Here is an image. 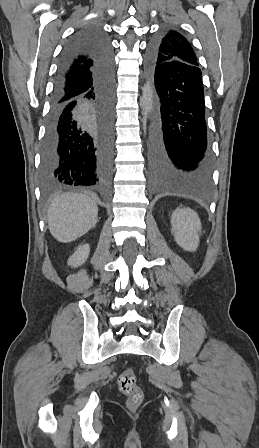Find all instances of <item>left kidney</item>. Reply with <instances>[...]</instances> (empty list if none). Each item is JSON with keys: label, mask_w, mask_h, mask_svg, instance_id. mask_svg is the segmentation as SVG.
Returning a JSON list of instances; mask_svg holds the SVG:
<instances>
[{"label": "left kidney", "mask_w": 259, "mask_h": 448, "mask_svg": "<svg viewBox=\"0 0 259 448\" xmlns=\"http://www.w3.org/2000/svg\"><path fill=\"white\" fill-rule=\"evenodd\" d=\"M172 234L180 248L195 252L199 246L201 222L198 214L191 208H177L171 216Z\"/></svg>", "instance_id": "obj_1"}]
</instances>
